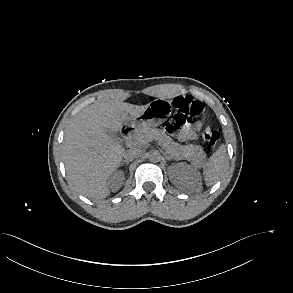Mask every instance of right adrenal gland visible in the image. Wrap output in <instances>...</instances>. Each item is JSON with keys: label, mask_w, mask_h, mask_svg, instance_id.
Segmentation results:
<instances>
[{"label": "right adrenal gland", "mask_w": 293, "mask_h": 293, "mask_svg": "<svg viewBox=\"0 0 293 293\" xmlns=\"http://www.w3.org/2000/svg\"><path fill=\"white\" fill-rule=\"evenodd\" d=\"M129 163H130V161L123 160V161L120 163V166H122L123 164L128 165Z\"/></svg>", "instance_id": "1"}]
</instances>
